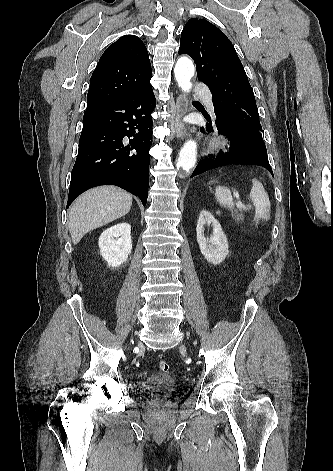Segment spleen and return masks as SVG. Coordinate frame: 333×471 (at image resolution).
Segmentation results:
<instances>
[{
	"label": "spleen",
	"instance_id": "spleen-1",
	"mask_svg": "<svg viewBox=\"0 0 333 471\" xmlns=\"http://www.w3.org/2000/svg\"><path fill=\"white\" fill-rule=\"evenodd\" d=\"M215 197L221 206L229 209L234 207L231 191L227 187H216ZM250 198L255 206L254 220L256 222L259 219L267 220L270 216V201L262 183L257 179H252Z\"/></svg>",
	"mask_w": 333,
	"mask_h": 471
}]
</instances>
